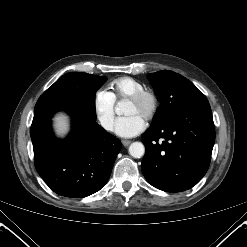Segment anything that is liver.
<instances>
[{"label":"liver","instance_id":"6515ba94","mask_svg":"<svg viewBox=\"0 0 247 247\" xmlns=\"http://www.w3.org/2000/svg\"><path fill=\"white\" fill-rule=\"evenodd\" d=\"M54 126L57 134L63 136L69 130L68 117L63 113H59L54 119Z\"/></svg>","mask_w":247,"mask_h":247}]
</instances>
